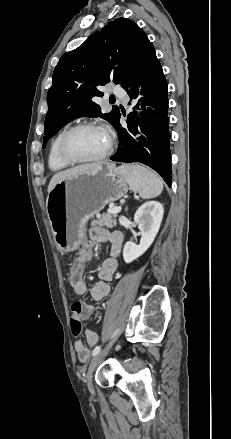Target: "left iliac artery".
Instances as JSON below:
<instances>
[{"instance_id":"44dca946","label":"left iliac artery","mask_w":231,"mask_h":439,"mask_svg":"<svg viewBox=\"0 0 231 439\" xmlns=\"http://www.w3.org/2000/svg\"><path fill=\"white\" fill-rule=\"evenodd\" d=\"M118 331H119V329H117V330L114 332V334L112 335V337L115 336V335L117 334ZM100 350H101V346H97V347L93 350V352H92V356L97 355V354L100 352Z\"/></svg>"}]
</instances>
